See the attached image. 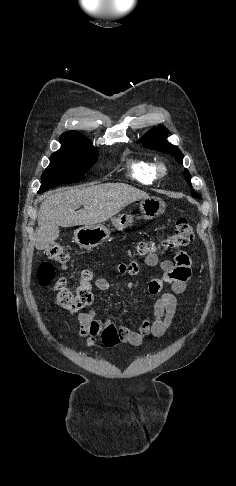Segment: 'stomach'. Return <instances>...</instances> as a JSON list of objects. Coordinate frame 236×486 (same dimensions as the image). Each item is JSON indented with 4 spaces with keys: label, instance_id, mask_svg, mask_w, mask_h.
Masks as SVG:
<instances>
[{
    "label": "stomach",
    "instance_id": "1",
    "mask_svg": "<svg viewBox=\"0 0 236 486\" xmlns=\"http://www.w3.org/2000/svg\"><path fill=\"white\" fill-rule=\"evenodd\" d=\"M165 202L157 197L142 199L140 202L141 215L134 217L127 213L119 214L111 219L113 226L118 230L131 227L135 220H151L159 217L165 211ZM110 236V230L102 224L85 225L74 231V240L82 249H92L99 246Z\"/></svg>",
    "mask_w": 236,
    "mask_h": 486
}]
</instances>
